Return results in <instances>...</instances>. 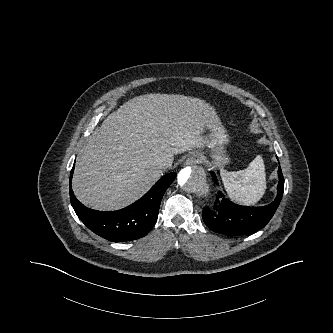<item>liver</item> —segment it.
I'll list each match as a JSON object with an SVG mask.
<instances>
[{
    "label": "liver",
    "mask_w": 333,
    "mask_h": 333,
    "mask_svg": "<svg viewBox=\"0 0 333 333\" xmlns=\"http://www.w3.org/2000/svg\"><path fill=\"white\" fill-rule=\"evenodd\" d=\"M219 122L203 100L182 95L146 94L124 103L94 131L76 159L72 189L84 205L118 210L142 197L160 178L159 161L210 146Z\"/></svg>",
    "instance_id": "6515ba94"
}]
</instances>
